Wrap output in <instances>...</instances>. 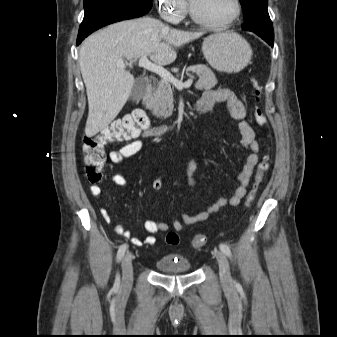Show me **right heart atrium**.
Instances as JSON below:
<instances>
[{"mask_svg":"<svg viewBox=\"0 0 337 337\" xmlns=\"http://www.w3.org/2000/svg\"><path fill=\"white\" fill-rule=\"evenodd\" d=\"M161 16L170 23L180 22L186 11L185 0H155Z\"/></svg>","mask_w":337,"mask_h":337,"instance_id":"obj_1","label":"right heart atrium"}]
</instances>
